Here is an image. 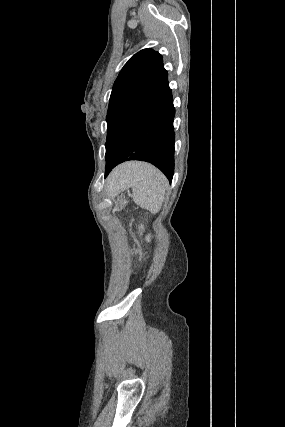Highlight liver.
I'll list each match as a JSON object with an SVG mask.
<instances>
[{"label": "liver", "instance_id": "liver-1", "mask_svg": "<svg viewBox=\"0 0 285 427\" xmlns=\"http://www.w3.org/2000/svg\"><path fill=\"white\" fill-rule=\"evenodd\" d=\"M129 165H131V163H129V164H123V165H121L120 167H118L114 172H113V174H112V177H111V181L109 182V184L111 185V183H112V180H113V177H116L118 174H119V172L120 171H122L123 169H125L127 166H129Z\"/></svg>", "mask_w": 285, "mask_h": 427}]
</instances>
